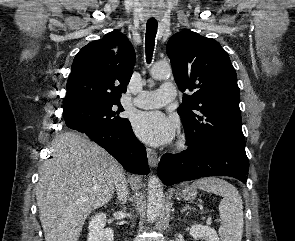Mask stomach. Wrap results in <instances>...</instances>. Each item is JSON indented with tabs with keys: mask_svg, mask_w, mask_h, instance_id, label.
Returning a JSON list of instances; mask_svg holds the SVG:
<instances>
[{
	"mask_svg": "<svg viewBox=\"0 0 295 241\" xmlns=\"http://www.w3.org/2000/svg\"><path fill=\"white\" fill-rule=\"evenodd\" d=\"M177 194L180 195L184 200L191 201L196 198L197 190L192 186L184 185L177 191Z\"/></svg>",
	"mask_w": 295,
	"mask_h": 241,
	"instance_id": "0dacf381",
	"label": "stomach"
}]
</instances>
